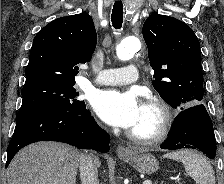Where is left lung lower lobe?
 I'll return each mask as SVG.
<instances>
[{"label":"left lung lower lobe","mask_w":224,"mask_h":184,"mask_svg":"<svg viewBox=\"0 0 224 184\" xmlns=\"http://www.w3.org/2000/svg\"><path fill=\"white\" fill-rule=\"evenodd\" d=\"M162 149H199L211 159L215 158L216 140L213 125L203 104L189 106L179 114L173 123L171 134Z\"/></svg>","instance_id":"obj_1"}]
</instances>
